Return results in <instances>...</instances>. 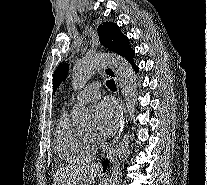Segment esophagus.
<instances>
[{"label":"esophagus","mask_w":207,"mask_h":185,"mask_svg":"<svg viewBox=\"0 0 207 185\" xmlns=\"http://www.w3.org/2000/svg\"><path fill=\"white\" fill-rule=\"evenodd\" d=\"M104 72H106L107 75H109L111 78H113V80L115 81L116 85H118V78L117 75L115 73V67H104ZM117 119H118V123H117V128H120L119 131H117V136L115 137L111 147L109 148V151L106 155L105 160H101L100 161V171L101 173H108V162H109V157H114L115 155V150L117 147V144L120 140L121 136H124V131H122V128H126V124H127V119H126V114H124L123 110L119 111V114H117Z\"/></svg>","instance_id":"1"}]
</instances>
